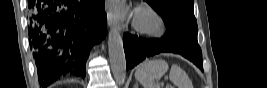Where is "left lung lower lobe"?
I'll return each mask as SVG.
<instances>
[{"mask_svg": "<svg viewBox=\"0 0 267 88\" xmlns=\"http://www.w3.org/2000/svg\"><path fill=\"white\" fill-rule=\"evenodd\" d=\"M127 70L133 68L146 57L161 53L173 52L192 61L200 69L202 51L197 42V33L187 30H168L161 39H144L129 33L123 36Z\"/></svg>", "mask_w": 267, "mask_h": 88, "instance_id": "1", "label": "left lung lower lobe"}]
</instances>
